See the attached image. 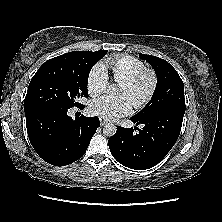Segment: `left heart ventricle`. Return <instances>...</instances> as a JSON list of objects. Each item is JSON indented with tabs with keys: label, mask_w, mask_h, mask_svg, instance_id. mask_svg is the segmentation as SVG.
<instances>
[{
	"label": "left heart ventricle",
	"mask_w": 222,
	"mask_h": 222,
	"mask_svg": "<svg viewBox=\"0 0 222 222\" xmlns=\"http://www.w3.org/2000/svg\"><path fill=\"white\" fill-rule=\"evenodd\" d=\"M149 84L150 81L148 78L142 80L141 83L134 90H130L124 84H121L118 92L121 95L127 96L130 99L131 103H133L136 99L141 98L147 92Z\"/></svg>",
	"instance_id": "1"
}]
</instances>
